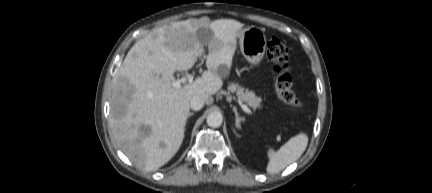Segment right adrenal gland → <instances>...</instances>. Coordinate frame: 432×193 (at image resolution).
Masks as SVG:
<instances>
[{
	"mask_svg": "<svg viewBox=\"0 0 432 193\" xmlns=\"http://www.w3.org/2000/svg\"><path fill=\"white\" fill-rule=\"evenodd\" d=\"M193 115V112H190L189 114H188V117H190V116H192Z\"/></svg>",
	"mask_w": 432,
	"mask_h": 193,
	"instance_id": "2a0ac1e0",
	"label": "right adrenal gland"
}]
</instances>
